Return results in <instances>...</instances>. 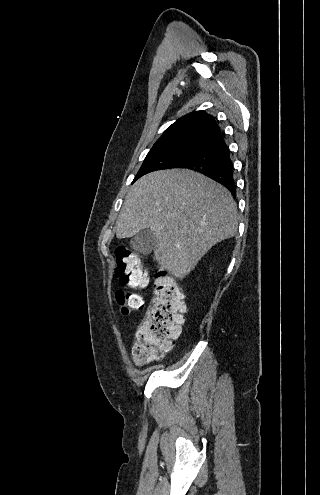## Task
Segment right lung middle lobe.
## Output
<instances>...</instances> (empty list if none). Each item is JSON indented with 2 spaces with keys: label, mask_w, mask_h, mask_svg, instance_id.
I'll return each mask as SVG.
<instances>
[{
  "label": "right lung middle lobe",
  "mask_w": 320,
  "mask_h": 495,
  "mask_svg": "<svg viewBox=\"0 0 320 495\" xmlns=\"http://www.w3.org/2000/svg\"><path fill=\"white\" fill-rule=\"evenodd\" d=\"M205 143L206 141L204 140L185 139L154 145L147 154L133 182L152 171L177 168Z\"/></svg>",
  "instance_id": "right-lung-middle-lobe-1"
}]
</instances>
